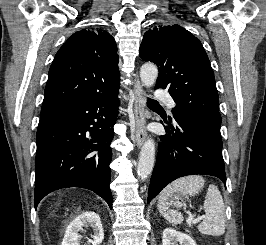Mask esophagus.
I'll list each match as a JSON object with an SVG mask.
<instances>
[{
    "instance_id": "1",
    "label": "esophagus",
    "mask_w": 266,
    "mask_h": 245,
    "mask_svg": "<svg viewBox=\"0 0 266 245\" xmlns=\"http://www.w3.org/2000/svg\"><path fill=\"white\" fill-rule=\"evenodd\" d=\"M134 115H135V142L137 147H141L143 142L146 140L147 131H146V110H145V94L140 84V81L135 78L134 83Z\"/></svg>"
}]
</instances>
